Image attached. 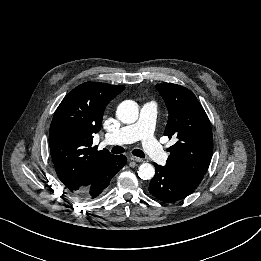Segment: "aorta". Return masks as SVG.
<instances>
[{
    "label": "aorta",
    "mask_w": 261,
    "mask_h": 261,
    "mask_svg": "<svg viewBox=\"0 0 261 261\" xmlns=\"http://www.w3.org/2000/svg\"><path fill=\"white\" fill-rule=\"evenodd\" d=\"M117 118L125 123L131 124L137 121L139 116V109L136 102L126 100L119 104L116 111ZM138 176L143 180H149L154 177L155 169L149 163H143L138 168Z\"/></svg>",
    "instance_id": "obj_1"
}]
</instances>
